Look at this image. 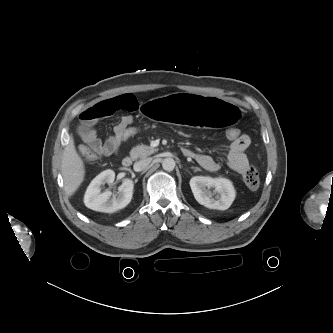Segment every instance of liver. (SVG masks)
<instances>
[{
    "mask_svg": "<svg viewBox=\"0 0 333 333\" xmlns=\"http://www.w3.org/2000/svg\"><path fill=\"white\" fill-rule=\"evenodd\" d=\"M62 175L64 187L68 195L74 194L84 180V163L75 149L72 137L69 138L63 152Z\"/></svg>",
    "mask_w": 333,
    "mask_h": 333,
    "instance_id": "liver-1",
    "label": "liver"
}]
</instances>
